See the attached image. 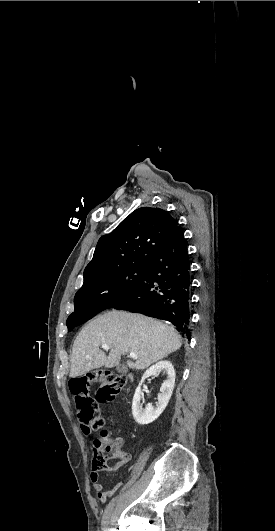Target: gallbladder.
I'll use <instances>...</instances> for the list:
<instances>
[{"label":"gallbladder","mask_w":275,"mask_h":531,"mask_svg":"<svg viewBox=\"0 0 275 531\" xmlns=\"http://www.w3.org/2000/svg\"><path fill=\"white\" fill-rule=\"evenodd\" d=\"M116 371H118V373H122V375H125V373H127V367L125 363H119L118 367H116Z\"/></svg>","instance_id":"gallbladder-1"}]
</instances>
